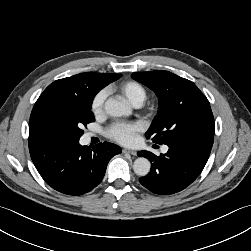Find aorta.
<instances>
[{
	"mask_svg": "<svg viewBox=\"0 0 251 251\" xmlns=\"http://www.w3.org/2000/svg\"><path fill=\"white\" fill-rule=\"evenodd\" d=\"M105 112L112 117L128 116L131 108L124 102L116 99H108L105 102ZM151 164L148 159L139 157L134 161L133 170L138 176H146L150 172Z\"/></svg>",
	"mask_w": 251,
	"mask_h": 251,
	"instance_id": "762f6f07",
	"label": "aorta"
}]
</instances>
